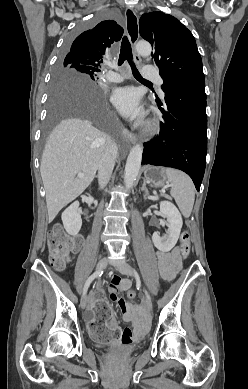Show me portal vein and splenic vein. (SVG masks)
<instances>
[{"label":"portal vein and splenic vein","instance_id":"18ae733b","mask_svg":"<svg viewBox=\"0 0 248 389\" xmlns=\"http://www.w3.org/2000/svg\"><path fill=\"white\" fill-rule=\"evenodd\" d=\"M84 174L83 173H78V177H83Z\"/></svg>","mask_w":248,"mask_h":389}]
</instances>
